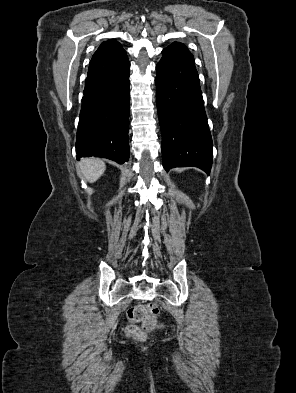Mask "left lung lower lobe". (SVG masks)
Listing matches in <instances>:
<instances>
[{"instance_id":"0a47b994","label":"left lung lower lobe","mask_w":296,"mask_h":393,"mask_svg":"<svg viewBox=\"0 0 296 393\" xmlns=\"http://www.w3.org/2000/svg\"><path fill=\"white\" fill-rule=\"evenodd\" d=\"M162 53L155 81L164 169L194 166L209 174L213 143L193 55Z\"/></svg>"}]
</instances>
